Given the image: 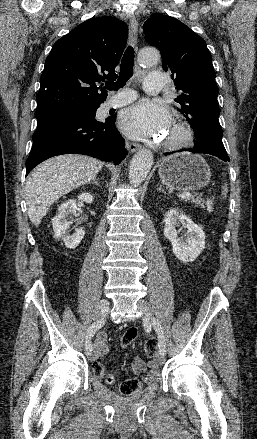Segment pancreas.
<instances>
[{
    "label": "pancreas",
    "instance_id": "obj_1",
    "mask_svg": "<svg viewBox=\"0 0 257 439\" xmlns=\"http://www.w3.org/2000/svg\"><path fill=\"white\" fill-rule=\"evenodd\" d=\"M187 200L189 202H191V203L196 204L197 206L202 207V208L205 207L204 206L205 205V201H204V199L202 198L201 195H193V196L189 197Z\"/></svg>",
    "mask_w": 257,
    "mask_h": 439
}]
</instances>
